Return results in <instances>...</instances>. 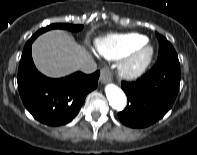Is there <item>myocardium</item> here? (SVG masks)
Listing matches in <instances>:
<instances>
[{
  "instance_id": "f54148a6",
  "label": "myocardium",
  "mask_w": 197,
  "mask_h": 155,
  "mask_svg": "<svg viewBox=\"0 0 197 155\" xmlns=\"http://www.w3.org/2000/svg\"><path fill=\"white\" fill-rule=\"evenodd\" d=\"M154 57V48L144 42L130 51L120 65V73L126 77H137L151 64Z\"/></svg>"
}]
</instances>
